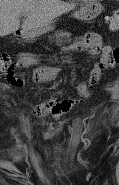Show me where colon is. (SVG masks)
Masks as SVG:
<instances>
[{
    "instance_id": "1",
    "label": "colon",
    "mask_w": 119,
    "mask_h": 185,
    "mask_svg": "<svg viewBox=\"0 0 119 185\" xmlns=\"http://www.w3.org/2000/svg\"><path fill=\"white\" fill-rule=\"evenodd\" d=\"M110 27H111L112 29H115V28L117 27V16H116V15H114V16L112 17Z\"/></svg>"
}]
</instances>
